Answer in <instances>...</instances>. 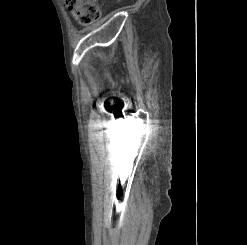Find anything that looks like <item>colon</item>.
I'll list each match as a JSON object with an SVG mask.
<instances>
[{"label": "colon", "instance_id": "1", "mask_svg": "<svg viewBox=\"0 0 247 245\" xmlns=\"http://www.w3.org/2000/svg\"><path fill=\"white\" fill-rule=\"evenodd\" d=\"M74 19L81 25H89L100 17L98 0H64Z\"/></svg>", "mask_w": 247, "mask_h": 245}]
</instances>
